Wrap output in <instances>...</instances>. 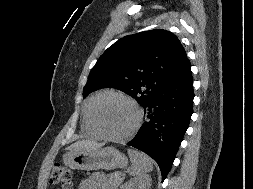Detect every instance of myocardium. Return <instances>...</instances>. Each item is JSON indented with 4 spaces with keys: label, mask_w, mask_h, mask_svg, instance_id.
I'll return each instance as SVG.
<instances>
[{
    "label": "myocardium",
    "mask_w": 253,
    "mask_h": 189,
    "mask_svg": "<svg viewBox=\"0 0 253 189\" xmlns=\"http://www.w3.org/2000/svg\"><path fill=\"white\" fill-rule=\"evenodd\" d=\"M105 97H117L119 99H122L123 101L131 105L132 108L135 110V113H136L135 123L133 127L130 129V131H128L126 134L121 135V136L109 134L107 131L103 129V127L98 122L97 117H96V106L98 102ZM89 114H90L91 123L93 127L96 129V131L100 134V136H102L105 139H108L111 141H117V142L126 141L130 139L131 137H133L140 129L142 121H143V112L140 106L137 104V102L131 97L121 92H116V91H105L95 96L90 106Z\"/></svg>",
    "instance_id": "1"
}]
</instances>
